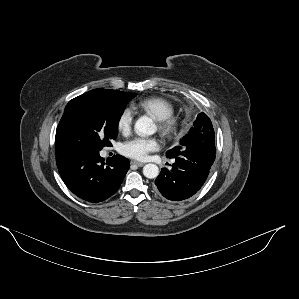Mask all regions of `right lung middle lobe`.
I'll return each instance as SVG.
<instances>
[{
  "mask_svg": "<svg viewBox=\"0 0 299 299\" xmlns=\"http://www.w3.org/2000/svg\"><path fill=\"white\" fill-rule=\"evenodd\" d=\"M136 96L129 92L80 95L72 99L56 130V150L64 155L83 150L100 151L111 145L126 104Z\"/></svg>",
  "mask_w": 299,
  "mask_h": 299,
  "instance_id": "obj_1",
  "label": "right lung middle lobe"
}]
</instances>
